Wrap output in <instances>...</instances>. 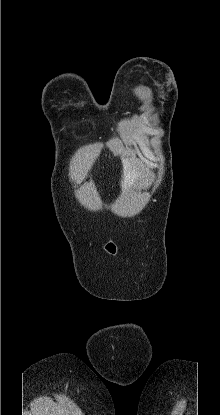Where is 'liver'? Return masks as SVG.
<instances>
[{"mask_svg":"<svg viewBox=\"0 0 220 415\" xmlns=\"http://www.w3.org/2000/svg\"><path fill=\"white\" fill-rule=\"evenodd\" d=\"M123 176H122V188L126 189L132 185L137 177L138 171L135 168V155L132 154L131 159H123Z\"/></svg>","mask_w":220,"mask_h":415,"instance_id":"6515ba94","label":"liver"}]
</instances>
